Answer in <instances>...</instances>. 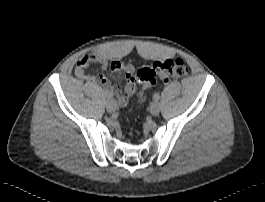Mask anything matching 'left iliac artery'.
<instances>
[{"label":"left iliac artery","mask_w":265,"mask_h":202,"mask_svg":"<svg viewBox=\"0 0 265 202\" xmlns=\"http://www.w3.org/2000/svg\"><path fill=\"white\" fill-rule=\"evenodd\" d=\"M153 98L158 101L160 99V95L158 93L154 94Z\"/></svg>","instance_id":"1"}]
</instances>
